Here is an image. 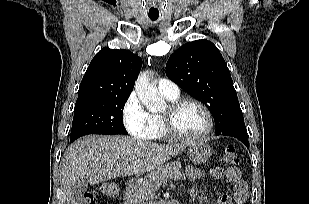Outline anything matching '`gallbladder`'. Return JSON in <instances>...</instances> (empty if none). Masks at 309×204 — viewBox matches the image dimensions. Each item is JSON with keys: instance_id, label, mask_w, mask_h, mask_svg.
Segmentation results:
<instances>
[{"instance_id": "bac80fb5", "label": "gallbladder", "mask_w": 309, "mask_h": 204, "mask_svg": "<svg viewBox=\"0 0 309 204\" xmlns=\"http://www.w3.org/2000/svg\"><path fill=\"white\" fill-rule=\"evenodd\" d=\"M88 183L85 179H78L74 183V187L71 194V201L76 202L82 198V195L86 192Z\"/></svg>"}]
</instances>
